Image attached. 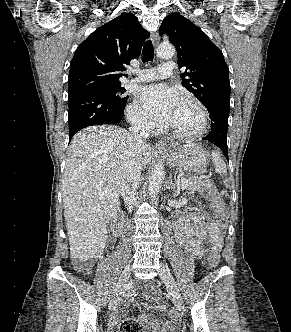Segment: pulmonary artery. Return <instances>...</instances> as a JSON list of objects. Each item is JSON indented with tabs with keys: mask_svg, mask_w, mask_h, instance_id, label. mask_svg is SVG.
<instances>
[{
	"mask_svg": "<svg viewBox=\"0 0 291 332\" xmlns=\"http://www.w3.org/2000/svg\"><path fill=\"white\" fill-rule=\"evenodd\" d=\"M175 69V63L168 61L159 67L148 68L141 72V74L134 79V81H155L164 79L173 74Z\"/></svg>",
	"mask_w": 291,
	"mask_h": 332,
	"instance_id": "pulmonary-artery-1",
	"label": "pulmonary artery"
}]
</instances>
